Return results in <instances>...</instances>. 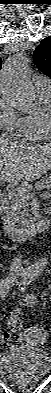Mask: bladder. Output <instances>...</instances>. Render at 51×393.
Here are the masks:
<instances>
[{"instance_id":"31cf9c89","label":"bladder","mask_w":51,"mask_h":393,"mask_svg":"<svg viewBox=\"0 0 51 393\" xmlns=\"http://www.w3.org/2000/svg\"><path fill=\"white\" fill-rule=\"evenodd\" d=\"M0 367L5 371L8 380L30 384L50 374L51 360L48 354L40 349L13 346L4 353Z\"/></svg>"}]
</instances>
